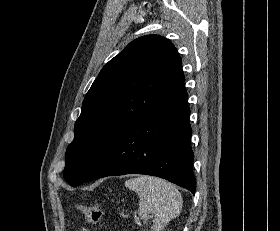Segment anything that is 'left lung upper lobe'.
<instances>
[{
	"label": "left lung upper lobe",
	"instance_id": "1",
	"mask_svg": "<svg viewBox=\"0 0 280 231\" xmlns=\"http://www.w3.org/2000/svg\"><path fill=\"white\" fill-rule=\"evenodd\" d=\"M184 81L174 45L159 35L135 39L101 70L86 94L65 155L64 178L84 183L120 134Z\"/></svg>",
	"mask_w": 280,
	"mask_h": 231
}]
</instances>
